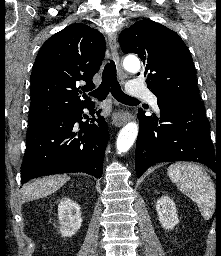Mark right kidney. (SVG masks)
Wrapping results in <instances>:
<instances>
[{
    "instance_id": "right-kidney-1",
    "label": "right kidney",
    "mask_w": 221,
    "mask_h": 256,
    "mask_svg": "<svg viewBox=\"0 0 221 256\" xmlns=\"http://www.w3.org/2000/svg\"><path fill=\"white\" fill-rule=\"evenodd\" d=\"M58 218L60 222V232L64 237L74 235L82 225L79 205L68 198L60 201L58 205Z\"/></svg>"
}]
</instances>
